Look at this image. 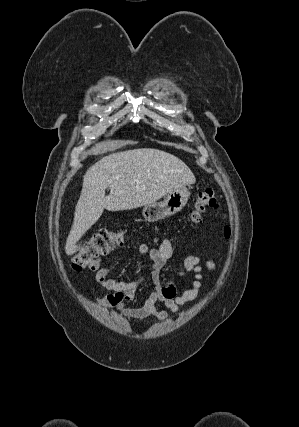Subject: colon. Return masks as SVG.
<instances>
[{
  "label": "colon",
  "instance_id": "obj_1",
  "mask_svg": "<svg viewBox=\"0 0 299 427\" xmlns=\"http://www.w3.org/2000/svg\"><path fill=\"white\" fill-rule=\"evenodd\" d=\"M219 208L218 200L211 189L199 191L193 205L190 215L191 222L198 224L202 220V215L209 209L217 210ZM226 236H229V229L224 230ZM124 242V234L121 231L102 228L96 231L87 242L74 254L70 260L71 268L79 272L94 263L116 247Z\"/></svg>",
  "mask_w": 299,
  "mask_h": 427
}]
</instances>
